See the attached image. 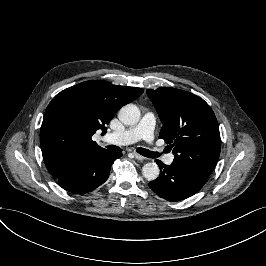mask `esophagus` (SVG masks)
<instances>
[{"label":"esophagus","mask_w":266,"mask_h":266,"mask_svg":"<svg viewBox=\"0 0 266 266\" xmlns=\"http://www.w3.org/2000/svg\"><path fill=\"white\" fill-rule=\"evenodd\" d=\"M133 155H134L135 159H137V160H140V161L145 160V157H143L142 155H140L136 152H134Z\"/></svg>","instance_id":"1"}]
</instances>
